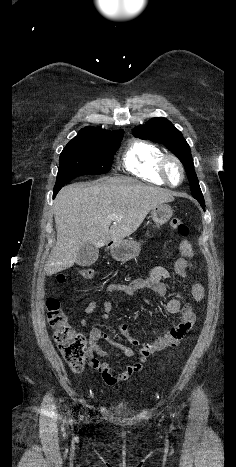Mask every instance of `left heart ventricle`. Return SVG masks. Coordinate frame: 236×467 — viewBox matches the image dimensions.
<instances>
[{
    "instance_id": "left-heart-ventricle-1",
    "label": "left heart ventricle",
    "mask_w": 236,
    "mask_h": 467,
    "mask_svg": "<svg viewBox=\"0 0 236 467\" xmlns=\"http://www.w3.org/2000/svg\"><path fill=\"white\" fill-rule=\"evenodd\" d=\"M168 177L170 182L177 184L181 179L179 167L174 162H169L167 166Z\"/></svg>"
}]
</instances>
